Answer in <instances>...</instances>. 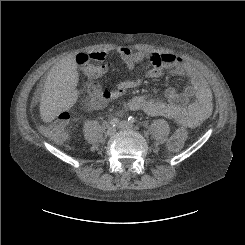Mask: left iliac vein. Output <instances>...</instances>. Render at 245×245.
I'll return each mask as SVG.
<instances>
[{"mask_svg": "<svg viewBox=\"0 0 245 245\" xmlns=\"http://www.w3.org/2000/svg\"><path fill=\"white\" fill-rule=\"evenodd\" d=\"M118 127L122 130H133V125L128 121H121Z\"/></svg>", "mask_w": 245, "mask_h": 245, "instance_id": "4c4485c4", "label": "left iliac vein"}]
</instances>
